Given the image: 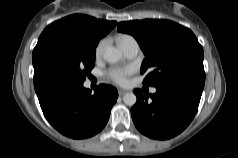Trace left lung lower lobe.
<instances>
[{
	"label": "left lung lower lobe",
	"mask_w": 238,
	"mask_h": 158,
	"mask_svg": "<svg viewBox=\"0 0 238 158\" xmlns=\"http://www.w3.org/2000/svg\"><path fill=\"white\" fill-rule=\"evenodd\" d=\"M205 83V73H189L156 87L155 94L136 89L131 115L136 128L154 139H169L181 133L194 118Z\"/></svg>",
	"instance_id": "obj_1"
}]
</instances>
